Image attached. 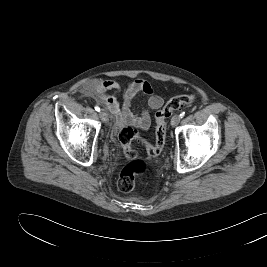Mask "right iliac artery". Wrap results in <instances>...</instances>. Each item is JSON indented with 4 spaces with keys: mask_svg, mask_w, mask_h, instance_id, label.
Segmentation results:
<instances>
[{
    "mask_svg": "<svg viewBox=\"0 0 267 267\" xmlns=\"http://www.w3.org/2000/svg\"><path fill=\"white\" fill-rule=\"evenodd\" d=\"M95 110H96V111H100L99 106H95Z\"/></svg>",
    "mask_w": 267,
    "mask_h": 267,
    "instance_id": "1",
    "label": "right iliac artery"
}]
</instances>
